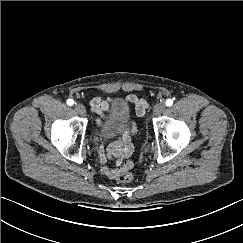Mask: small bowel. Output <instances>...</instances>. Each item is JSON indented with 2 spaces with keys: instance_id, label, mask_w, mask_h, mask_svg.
<instances>
[{
  "instance_id": "obj_1",
  "label": "small bowel",
  "mask_w": 243,
  "mask_h": 243,
  "mask_svg": "<svg viewBox=\"0 0 243 243\" xmlns=\"http://www.w3.org/2000/svg\"><path fill=\"white\" fill-rule=\"evenodd\" d=\"M111 98L95 97L90 101V108L92 112L97 116V124H101L105 117L110 112ZM126 102L132 103L135 106V111L138 116H144L148 109V102L144 98H139L136 95H128ZM137 132V128L134 122H131L127 126L118 139L117 142L111 144L107 149L104 148L103 144L98 140V154L100 163L102 165L101 172L109 179H116L118 176L125 171L128 162H123L124 159L128 158L134 149V135ZM108 160L115 161V167L107 165Z\"/></svg>"
}]
</instances>
